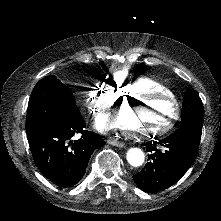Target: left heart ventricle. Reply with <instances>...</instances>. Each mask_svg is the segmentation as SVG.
Returning a JSON list of instances; mask_svg holds the SVG:
<instances>
[{
  "mask_svg": "<svg viewBox=\"0 0 221 221\" xmlns=\"http://www.w3.org/2000/svg\"><path fill=\"white\" fill-rule=\"evenodd\" d=\"M174 117V108L170 103L144 99L139 105L132 128H158Z\"/></svg>",
  "mask_w": 221,
  "mask_h": 221,
  "instance_id": "b2bd125f",
  "label": "left heart ventricle"
}]
</instances>
